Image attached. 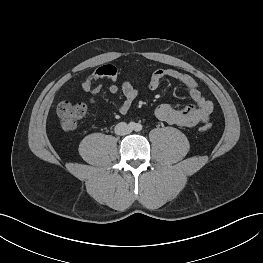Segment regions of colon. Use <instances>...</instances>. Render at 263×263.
I'll return each mask as SVG.
<instances>
[{
	"label": "colon",
	"mask_w": 263,
	"mask_h": 263,
	"mask_svg": "<svg viewBox=\"0 0 263 263\" xmlns=\"http://www.w3.org/2000/svg\"><path fill=\"white\" fill-rule=\"evenodd\" d=\"M86 112V106L81 102L62 101L57 107V116L62 129L74 130ZM211 129L209 124L201 127V131Z\"/></svg>",
	"instance_id": "obj_1"
}]
</instances>
